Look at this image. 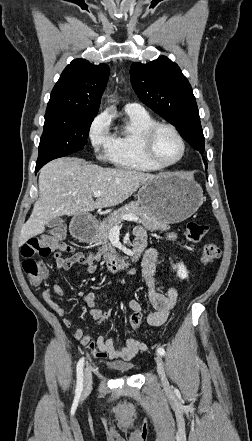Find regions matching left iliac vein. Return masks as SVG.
<instances>
[{"label": "left iliac vein", "mask_w": 252, "mask_h": 441, "mask_svg": "<svg viewBox=\"0 0 252 441\" xmlns=\"http://www.w3.org/2000/svg\"><path fill=\"white\" fill-rule=\"evenodd\" d=\"M156 364H157V372L159 374L160 380L164 386L168 384L166 374H165V368H164V362L161 356L157 355L155 357Z\"/></svg>", "instance_id": "4c4485c4"}]
</instances>
